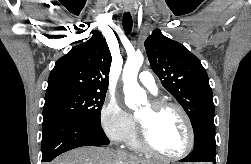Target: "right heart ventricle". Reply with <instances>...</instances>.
<instances>
[{"label":"right heart ventricle","mask_w":251,"mask_h":164,"mask_svg":"<svg viewBox=\"0 0 251 164\" xmlns=\"http://www.w3.org/2000/svg\"><path fill=\"white\" fill-rule=\"evenodd\" d=\"M127 142H128V145L130 146V148L132 150H134L135 152H138V153H144L145 152L144 149L140 145L136 129L134 130V132L132 133V135L129 137V139L127 140Z\"/></svg>","instance_id":"obj_1"}]
</instances>
